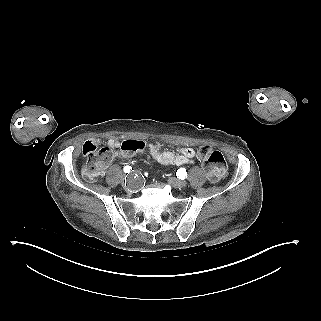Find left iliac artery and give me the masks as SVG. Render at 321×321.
<instances>
[{
  "mask_svg": "<svg viewBox=\"0 0 321 321\" xmlns=\"http://www.w3.org/2000/svg\"><path fill=\"white\" fill-rule=\"evenodd\" d=\"M177 176H178L179 178H181V180H184L185 177L187 176L186 169H185V168H180V169L177 171Z\"/></svg>",
  "mask_w": 321,
  "mask_h": 321,
  "instance_id": "obj_1",
  "label": "left iliac artery"
}]
</instances>
